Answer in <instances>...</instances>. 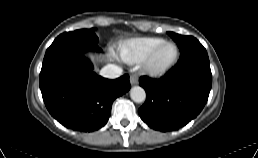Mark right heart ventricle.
<instances>
[{"mask_svg": "<svg viewBox=\"0 0 258 158\" xmlns=\"http://www.w3.org/2000/svg\"><path fill=\"white\" fill-rule=\"evenodd\" d=\"M162 41L163 39L156 37H143L127 41L120 47V58L129 64H139Z\"/></svg>", "mask_w": 258, "mask_h": 158, "instance_id": "right-heart-ventricle-1", "label": "right heart ventricle"}]
</instances>
